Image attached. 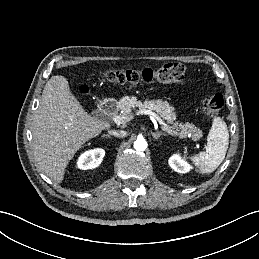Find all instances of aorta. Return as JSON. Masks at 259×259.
Returning <instances> with one entry per match:
<instances>
[{"label":"aorta","mask_w":259,"mask_h":259,"mask_svg":"<svg viewBox=\"0 0 259 259\" xmlns=\"http://www.w3.org/2000/svg\"><path fill=\"white\" fill-rule=\"evenodd\" d=\"M147 148V141L144 138H137L134 142V149L137 151H144Z\"/></svg>","instance_id":"1"}]
</instances>
